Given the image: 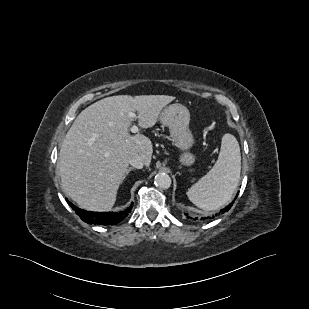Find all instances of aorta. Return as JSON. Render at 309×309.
<instances>
[{"mask_svg": "<svg viewBox=\"0 0 309 309\" xmlns=\"http://www.w3.org/2000/svg\"><path fill=\"white\" fill-rule=\"evenodd\" d=\"M171 178L166 173H158L155 176L154 183L160 189H168L171 186Z\"/></svg>", "mask_w": 309, "mask_h": 309, "instance_id": "obj_1", "label": "aorta"}]
</instances>
